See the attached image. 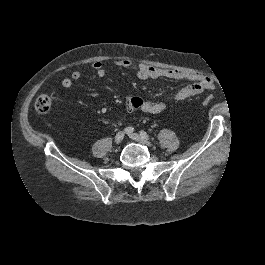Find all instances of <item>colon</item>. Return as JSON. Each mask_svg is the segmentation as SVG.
<instances>
[{
	"instance_id": "obj_1",
	"label": "colon",
	"mask_w": 265,
	"mask_h": 265,
	"mask_svg": "<svg viewBox=\"0 0 265 265\" xmlns=\"http://www.w3.org/2000/svg\"><path fill=\"white\" fill-rule=\"evenodd\" d=\"M213 99V96H207L202 104L207 105L211 100ZM53 104V97L49 94H41L36 97L34 100V109L39 113H45L50 110Z\"/></svg>"
}]
</instances>
